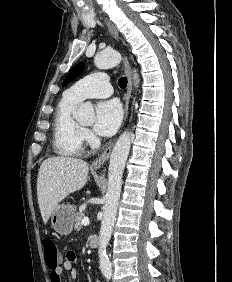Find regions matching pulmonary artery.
<instances>
[{
	"mask_svg": "<svg viewBox=\"0 0 232 282\" xmlns=\"http://www.w3.org/2000/svg\"><path fill=\"white\" fill-rule=\"evenodd\" d=\"M66 93L81 101L85 98L109 97L113 93V88L109 82L108 75L104 72H97L76 82Z\"/></svg>",
	"mask_w": 232,
	"mask_h": 282,
	"instance_id": "obj_1",
	"label": "pulmonary artery"
}]
</instances>
